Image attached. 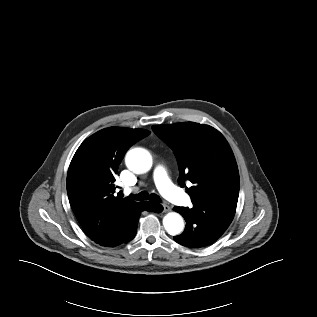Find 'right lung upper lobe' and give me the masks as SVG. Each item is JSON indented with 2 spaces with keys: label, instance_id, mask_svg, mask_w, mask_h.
I'll return each instance as SVG.
<instances>
[{
  "label": "right lung upper lobe",
  "instance_id": "right-lung-upper-lobe-1",
  "mask_svg": "<svg viewBox=\"0 0 317 317\" xmlns=\"http://www.w3.org/2000/svg\"><path fill=\"white\" fill-rule=\"evenodd\" d=\"M149 131L109 127L87 138L76 151L67 174V193L82 228L96 225L115 234L139 204L115 192V176L126 151Z\"/></svg>",
  "mask_w": 317,
  "mask_h": 317
}]
</instances>
